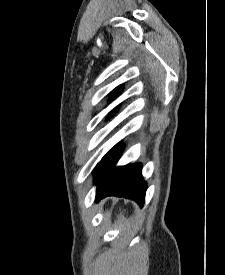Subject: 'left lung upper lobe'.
I'll return each mask as SVG.
<instances>
[{
  "instance_id": "1",
  "label": "left lung upper lobe",
  "mask_w": 225,
  "mask_h": 275,
  "mask_svg": "<svg viewBox=\"0 0 225 275\" xmlns=\"http://www.w3.org/2000/svg\"><path fill=\"white\" fill-rule=\"evenodd\" d=\"M119 91H120L119 87L115 88V89L113 90L112 96L114 97V96L118 95Z\"/></svg>"
}]
</instances>
